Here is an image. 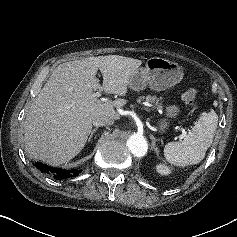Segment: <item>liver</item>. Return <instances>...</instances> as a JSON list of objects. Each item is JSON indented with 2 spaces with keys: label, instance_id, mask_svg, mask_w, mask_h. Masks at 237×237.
Wrapping results in <instances>:
<instances>
[{
  "label": "liver",
  "instance_id": "obj_1",
  "mask_svg": "<svg viewBox=\"0 0 237 237\" xmlns=\"http://www.w3.org/2000/svg\"><path fill=\"white\" fill-rule=\"evenodd\" d=\"M141 60L119 55L88 57L60 64L34 99L24 122L27 152L51 165L68 162L84 148L98 116L120 118L116 107L126 102H103L93 91L125 96L129 79ZM98 69L102 86L96 78Z\"/></svg>",
  "mask_w": 237,
  "mask_h": 237
}]
</instances>
